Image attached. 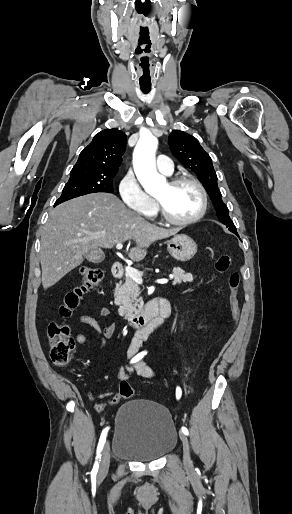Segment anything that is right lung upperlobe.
I'll return each instance as SVG.
<instances>
[{"label":"right lung upper lobe","mask_w":292,"mask_h":514,"mask_svg":"<svg viewBox=\"0 0 292 514\" xmlns=\"http://www.w3.org/2000/svg\"><path fill=\"white\" fill-rule=\"evenodd\" d=\"M126 149V135L115 128L95 135L92 142L80 153L70 174L113 175L122 163Z\"/></svg>","instance_id":"cb5924a9"}]
</instances>
